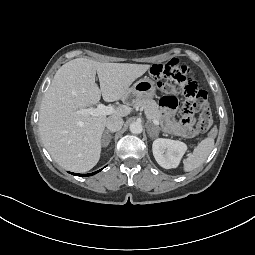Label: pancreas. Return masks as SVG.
<instances>
[{
    "label": "pancreas",
    "mask_w": 255,
    "mask_h": 255,
    "mask_svg": "<svg viewBox=\"0 0 255 255\" xmlns=\"http://www.w3.org/2000/svg\"><path fill=\"white\" fill-rule=\"evenodd\" d=\"M135 108H143L145 115L149 120H161V111L158 104L152 99H135L132 103Z\"/></svg>",
    "instance_id": "pancreas-1"
}]
</instances>
